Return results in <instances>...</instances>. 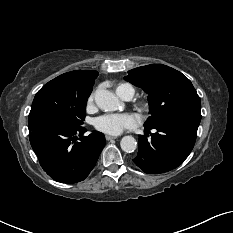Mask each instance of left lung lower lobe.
<instances>
[{"label":"left lung lower lobe","instance_id":"1","mask_svg":"<svg viewBox=\"0 0 233 233\" xmlns=\"http://www.w3.org/2000/svg\"><path fill=\"white\" fill-rule=\"evenodd\" d=\"M200 120L194 117L165 118L145 126L134 163L145 173H164L183 163L192 151ZM151 129L157 130L147 139Z\"/></svg>","mask_w":233,"mask_h":233}]
</instances>
